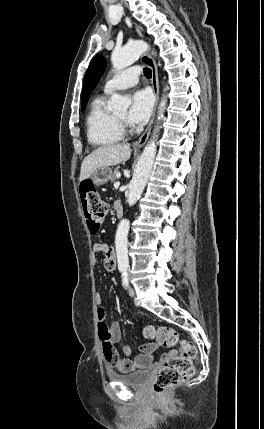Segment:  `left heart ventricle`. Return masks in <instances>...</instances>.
<instances>
[{
  "label": "left heart ventricle",
  "instance_id": "obj_1",
  "mask_svg": "<svg viewBox=\"0 0 264 429\" xmlns=\"http://www.w3.org/2000/svg\"><path fill=\"white\" fill-rule=\"evenodd\" d=\"M126 116H127L126 111H123V112H120V113L116 114V117H118L120 119H123V120L126 119Z\"/></svg>",
  "mask_w": 264,
  "mask_h": 429
}]
</instances>
